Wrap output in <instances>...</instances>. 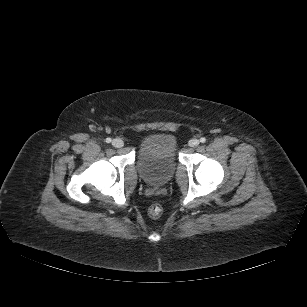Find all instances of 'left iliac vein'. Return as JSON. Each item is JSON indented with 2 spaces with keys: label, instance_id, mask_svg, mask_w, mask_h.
<instances>
[{
  "label": "left iliac vein",
  "instance_id": "obj_1",
  "mask_svg": "<svg viewBox=\"0 0 307 307\" xmlns=\"http://www.w3.org/2000/svg\"><path fill=\"white\" fill-rule=\"evenodd\" d=\"M188 144H189L190 147H196V146L199 145V140L198 139H191Z\"/></svg>",
  "mask_w": 307,
  "mask_h": 307
}]
</instances>
